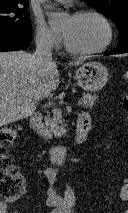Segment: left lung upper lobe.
I'll return each mask as SVG.
<instances>
[{"label":"left lung upper lobe","instance_id":"left-lung-upper-lobe-1","mask_svg":"<svg viewBox=\"0 0 128 213\" xmlns=\"http://www.w3.org/2000/svg\"><path fill=\"white\" fill-rule=\"evenodd\" d=\"M86 3L109 17L119 31L118 47L128 44V0H85Z\"/></svg>","mask_w":128,"mask_h":213}]
</instances>
